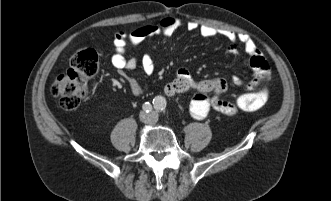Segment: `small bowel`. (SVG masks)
Listing matches in <instances>:
<instances>
[{"label":"small bowel","mask_w":331,"mask_h":201,"mask_svg":"<svg viewBox=\"0 0 331 201\" xmlns=\"http://www.w3.org/2000/svg\"><path fill=\"white\" fill-rule=\"evenodd\" d=\"M179 26V19L167 17L157 23L145 25L129 32H117L113 40L114 52L111 57L112 65L122 73L126 70H134L138 62L134 57H127L128 45H138L146 38L154 35L171 36ZM186 27L189 31H198L205 38L224 37L231 42L228 50L233 55L239 54V44L243 46L248 56L249 65L255 73V78L248 84H244L239 77H235L234 83L236 85H244L247 89L252 90L260 86L263 80L268 78L270 73L269 66L253 40L247 34L236 33L208 25H199L195 22H188ZM141 64L146 74L150 75L154 72V63L149 55L142 57ZM127 82L133 95H143V87L136 80L128 78ZM226 90L227 83L224 79L215 78L197 81L185 68H180L175 78L164 88V92L169 96L178 93L193 92L194 96L190 102L189 111L192 117L198 120L206 118L211 110L226 115H234L238 112L239 109L234 102L223 98Z\"/></svg>","instance_id":"1"}]
</instances>
